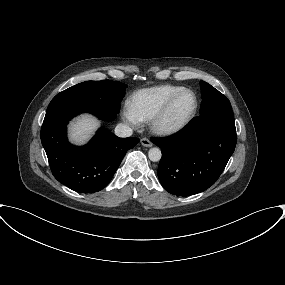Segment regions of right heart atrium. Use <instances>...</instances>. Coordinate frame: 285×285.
<instances>
[{
  "label": "right heart atrium",
  "instance_id": "obj_1",
  "mask_svg": "<svg viewBox=\"0 0 285 285\" xmlns=\"http://www.w3.org/2000/svg\"><path fill=\"white\" fill-rule=\"evenodd\" d=\"M121 116L122 119L132 125V126H137L139 124V119L138 117L135 115V113L132 111V109L130 108V106H125L122 111H121Z\"/></svg>",
  "mask_w": 285,
  "mask_h": 285
}]
</instances>
